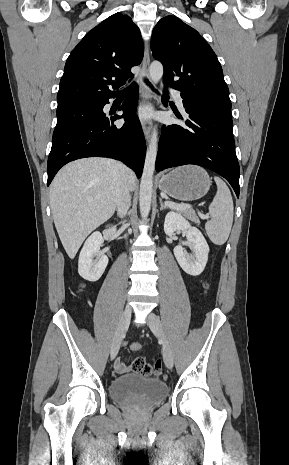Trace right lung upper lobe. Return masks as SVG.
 <instances>
[{
	"mask_svg": "<svg viewBox=\"0 0 289 465\" xmlns=\"http://www.w3.org/2000/svg\"><path fill=\"white\" fill-rule=\"evenodd\" d=\"M144 46L132 19L115 13L89 31L70 53L57 95L58 104L78 100H108L133 76ZM112 78H116L115 81Z\"/></svg>",
	"mask_w": 289,
	"mask_h": 465,
	"instance_id": "1",
	"label": "right lung upper lobe"
}]
</instances>
